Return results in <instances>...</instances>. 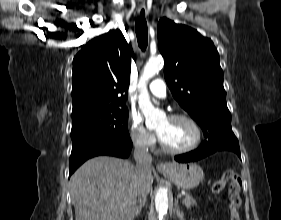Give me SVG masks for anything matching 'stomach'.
Listing matches in <instances>:
<instances>
[{
	"label": "stomach",
	"mask_w": 281,
	"mask_h": 220,
	"mask_svg": "<svg viewBox=\"0 0 281 220\" xmlns=\"http://www.w3.org/2000/svg\"><path fill=\"white\" fill-rule=\"evenodd\" d=\"M162 174L168 177L177 187L190 190L200 184L204 178L202 168L196 163H171Z\"/></svg>",
	"instance_id": "stomach-1"
}]
</instances>
